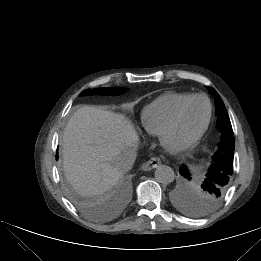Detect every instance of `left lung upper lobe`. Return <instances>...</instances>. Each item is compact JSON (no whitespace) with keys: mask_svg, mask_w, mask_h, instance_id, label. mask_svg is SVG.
<instances>
[{"mask_svg":"<svg viewBox=\"0 0 261 261\" xmlns=\"http://www.w3.org/2000/svg\"><path fill=\"white\" fill-rule=\"evenodd\" d=\"M209 90L215 99L217 127L221 133V141L213 164L197 193L192 198L180 202V207L193 216L207 215L219 206L226 195L232 175L227 166L233 165L235 147L231 122L219 94L210 87Z\"/></svg>","mask_w":261,"mask_h":261,"instance_id":"left-lung-upper-lobe-1","label":"left lung upper lobe"}]
</instances>
